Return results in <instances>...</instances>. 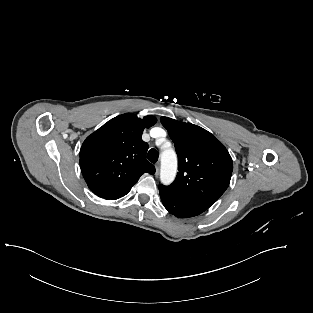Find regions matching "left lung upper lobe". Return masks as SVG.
<instances>
[{
    "label": "left lung upper lobe",
    "mask_w": 313,
    "mask_h": 313,
    "mask_svg": "<svg viewBox=\"0 0 313 313\" xmlns=\"http://www.w3.org/2000/svg\"><path fill=\"white\" fill-rule=\"evenodd\" d=\"M178 155L176 179L159 185L168 194L205 209L212 206L229 186L232 158L213 134L190 123L161 117Z\"/></svg>",
    "instance_id": "5c2ea615"
}]
</instances>
